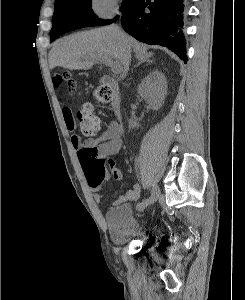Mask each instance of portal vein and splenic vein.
<instances>
[{
	"label": "portal vein and splenic vein",
	"mask_w": 245,
	"mask_h": 300,
	"mask_svg": "<svg viewBox=\"0 0 245 300\" xmlns=\"http://www.w3.org/2000/svg\"><path fill=\"white\" fill-rule=\"evenodd\" d=\"M99 61L105 63L108 66H110L112 68V71L116 74H119L122 71L120 65L116 62L113 63L110 59L102 58Z\"/></svg>",
	"instance_id": "obj_1"
}]
</instances>
